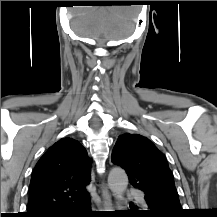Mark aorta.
I'll list each match as a JSON object with an SVG mask.
<instances>
[{
    "label": "aorta",
    "instance_id": "aorta-1",
    "mask_svg": "<svg viewBox=\"0 0 217 217\" xmlns=\"http://www.w3.org/2000/svg\"><path fill=\"white\" fill-rule=\"evenodd\" d=\"M108 186L117 200H122L128 186V176L121 168H113L108 176Z\"/></svg>",
    "mask_w": 217,
    "mask_h": 217
}]
</instances>
